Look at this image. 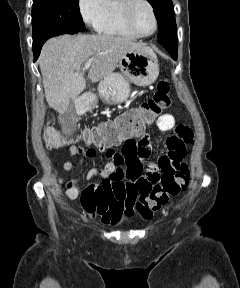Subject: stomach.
Masks as SVG:
<instances>
[{
	"mask_svg": "<svg viewBox=\"0 0 240 288\" xmlns=\"http://www.w3.org/2000/svg\"><path fill=\"white\" fill-rule=\"evenodd\" d=\"M119 68L121 73L107 75L98 85V93L104 103L125 101L130 95L131 83L147 86L154 83L159 75L157 57L148 51H127L119 60Z\"/></svg>",
	"mask_w": 240,
	"mask_h": 288,
	"instance_id": "0dacf381",
	"label": "stomach"
}]
</instances>
